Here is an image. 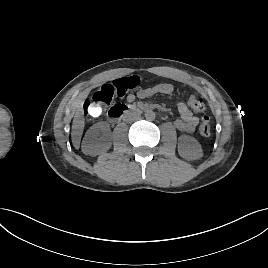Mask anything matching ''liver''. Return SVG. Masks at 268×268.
I'll use <instances>...</instances> for the list:
<instances>
[{"instance_id":"1","label":"liver","mask_w":268,"mask_h":268,"mask_svg":"<svg viewBox=\"0 0 268 268\" xmlns=\"http://www.w3.org/2000/svg\"><path fill=\"white\" fill-rule=\"evenodd\" d=\"M89 91L82 93L79 97V106L74 115L73 123H72V142L75 147H79L80 140L83 134L85 120L83 117L82 103L87 98Z\"/></svg>"}]
</instances>
